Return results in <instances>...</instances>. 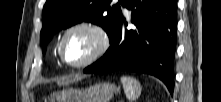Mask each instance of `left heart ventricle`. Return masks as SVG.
I'll return each instance as SVG.
<instances>
[{
  "label": "left heart ventricle",
  "instance_id": "obj_1",
  "mask_svg": "<svg viewBox=\"0 0 221 102\" xmlns=\"http://www.w3.org/2000/svg\"><path fill=\"white\" fill-rule=\"evenodd\" d=\"M95 46L93 36L86 31L71 33L64 45V55L68 62L78 63L92 52Z\"/></svg>",
  "mask_w": 221,
  "mask_h": 102
}]
</instances>
